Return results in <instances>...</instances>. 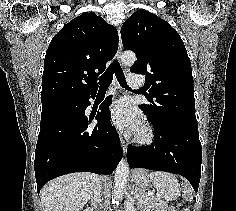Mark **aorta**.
I'll return each instance as SVG.
<instances>
[{"mask_svg":"<svg viewBox=\"0 0 236 211\" xmlns=\"http://www.w3.org/2000/svg\"><path fill=\"white\" fill-rule=\"evenodd\" d=\"M135 53L131 51L124 52L121 55V61L125 65H132L136 61ZM129 175V166L127 160L122 158L115 170L114 178V190L112 195V202L115 205H118L119 202L123 199L124 191L127 186Z\"/></svg>","mask_w":236,"mask_h":211,"instance_id":"762f6f07","label":"aorta"}]
</instances>
